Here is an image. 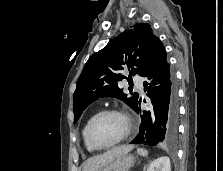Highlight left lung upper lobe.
<instances>
[{
	"label": "left lung upper lobe",
	"mask_w": 223,
	"mask_h": 171,
	"mask_svg": "<svg viewBox=\"0 0 223 171\" xmlns=\"http://www.w3.org/2000/svg\"><path fill=\"white\" fill-rule=\"evenodd\" d=\"M158 41L160 39L154 35L149 24L136 23L92 55L78 78L73 95L74 123L83 110L99 97H116L135 109L138 94L128 97L117 83L126 78L122 74L126 66L129 70L132 69L130 73L133 75L138 73L143 76ZM130 79L131 76L128 80Z\"/></svg>",
	"instance_id": "1"
}]
</instances>
